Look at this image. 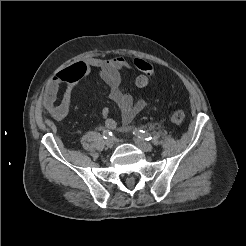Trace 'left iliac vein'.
<instances>
[{
  "label": "left iliac vein",
  "instance_id": "1",
  "mask_svg": "<svg viewBox=\"0 0 246 246\" xmlns=\"http://www.w3.org/2000/svg\"><path fill=\"white\" fill-rule=\"evenodd\" d=\"M134 141L136 145L145 152H150L153 150V145L149 142H146L140 138H135Z\"/></svg>",
  "mask_w": 246,
  "mask_h": 246
}]
</instances>
